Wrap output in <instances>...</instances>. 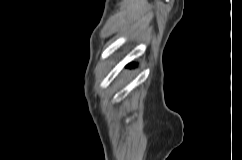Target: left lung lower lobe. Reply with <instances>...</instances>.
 <instances>
[{
    "mask_svg": "<svg viewBox=\"0 0 242 160\" xmlns=\"http://www.w3.org/2000/svg\"><path fill=\"white\" fill-rule=\"evenodd\" d=\"M132 66H134V64L128 65V67H132Z\"/></svg>",
    "mask_w": 242,
    "mask_h": 160,
    "instance_id": "obj_1",
    "label": "left lung lower lobe"
}]
</instances>
